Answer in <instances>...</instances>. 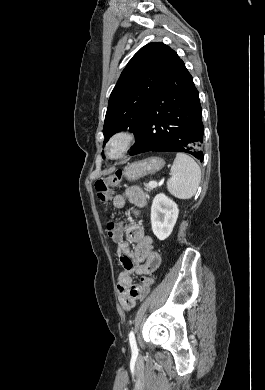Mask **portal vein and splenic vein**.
I'll list each match as a JSON object with an SVG mask.
<instances>
[{
    "label": "portal vein and splenic vein",
    "mask_w": 265,
    "mask_h": 390,
    "mask_svg": "<svg viewBox=\"0 0 265 390\" xmlns=\"http://www.w3.org/2000/svg\"><path fill=\"white\" fill-rule=\"evenodd\" d=\"M150 184L154 187L158 186V183L156 181H151Z\"/></svg>",
    "instance_id": "18ae733b"
}]
</instances>
